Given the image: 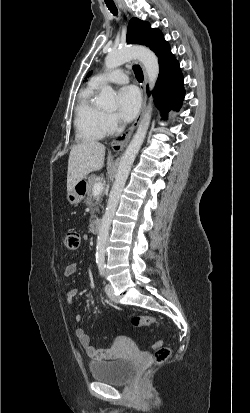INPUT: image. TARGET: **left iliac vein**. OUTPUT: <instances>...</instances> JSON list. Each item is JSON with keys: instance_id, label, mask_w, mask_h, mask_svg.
<instances>
[{"instance_id": "4c4485c4", "label": "left iliac vein", "mask_w": 250, "mask_h": 413, "mask_svg": "<svg viewBox=\"0 0 250 413\" xmlns=\"http://www.w3.org/2000/svg\"><path fill=\"white\" fill-rule=\"evenodd\" d=\"M105 292H106L108 298H109L111 301L117 302V298H116V296H115V294H114L113 287H112L110 284H107V285H106V287H105Z\"/></svg>"}]
</instances>
